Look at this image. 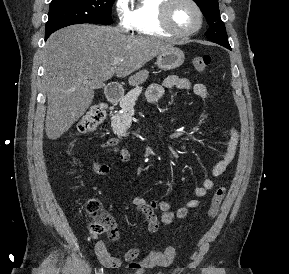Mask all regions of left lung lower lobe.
I'll list each match as a JSON object with an SVG mask.
<instances>
[{
	"label": "left lung lower lobe",
	"instance_id": "obj_1",
	"mask_svg": "<svg viewBox=\"0 0 289 274\" xmlns=\"http://www.w3.org/2000/svg\"><path fill=\"white\" fill-rule=\"evenodd\" d=\"M224 47H226V48H228V49H230V50H231V47H230V46H224Z\"/></svg>",
	"mask_w": 289,
	"mask_h": 274
}]
</instances>
